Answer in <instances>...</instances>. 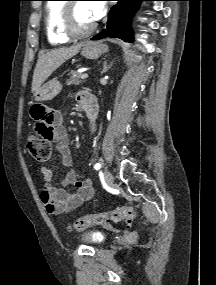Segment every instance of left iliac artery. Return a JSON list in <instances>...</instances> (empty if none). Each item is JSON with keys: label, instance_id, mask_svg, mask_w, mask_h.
I'll use <instances>...</instances> for the list:
<instances>
[{"label": "left iliac artery", "instance_id": "left-iliac-artery-1", "mask_svg": "<svg viewBox=\"0 0 216 285\" xmlns=\"http://www.w3.org/2000/svg\"><path fill=\"white\" fill-rule=\"evenodd\" d=\"M94 168H95V170H99L101 168V164L100 163H96Z\"/></svg>", "mask_w": 216, "mask_h": 285}]
</instances>
